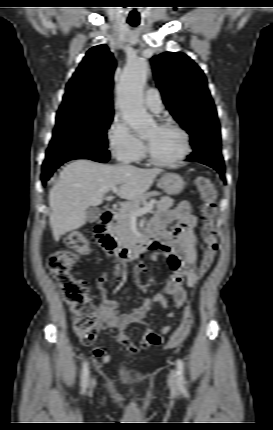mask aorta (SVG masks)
<instances>
[{
  "label": "aorta",
  "mask_w": 273,
  "mask_h": 430,
  "mask_svg": "<svg viewBox=\"0 0 273 430\" xmlns=\"http://www.w3.org/2000/svg\"><path fill=\"white\" fill-rule=\"evenodd\" d=\"M148 72L149 63L146 60H132L125 68L117 88V103L123 119L138 134L146 133L154 125L142 101Z\"/></svg>",
  "instance_id": "1"
}]
</instances>
